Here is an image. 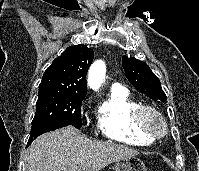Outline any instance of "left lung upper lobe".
<instances>
[{
	"mask_svg": "<svg viewBox=\"0 0 199 171\" xmlns=\"http://www.w3.org/2000/svg\"><path fill=\"white\" fill-rule=\"evenodd\" d=\"M122 65L127 79L136 89L145 93L153 100L165 101L167 99L159 79L145 62L123 56Z\"/></svg>",
	"mask_w": 199,
	"mask_h": 171,
	"instance_id": "left-lung-upper-lobe-1",
	"label": "left lung upper lobe"
}]
</instances>
